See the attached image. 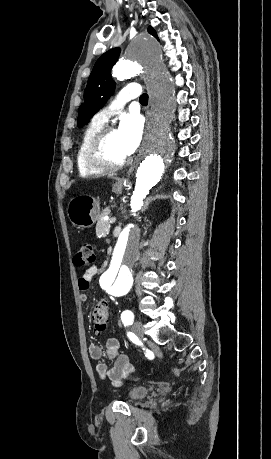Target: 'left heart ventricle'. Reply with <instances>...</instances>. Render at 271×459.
Segmentation results:
<instances>
[{
	"label": "left heart ventricle",
	"instance_id": "1",
	"mask_svg": "<svg viewBox=\"0 0 271 459\" xmlns=\"http://www.w3.org/2000/svg\"><path fill=\"white\" fill-rule=\"evenodd\" d=\"M108 148L111 154H113L114 156H124L128 154L118 129H115L112 132L108 140Z\"/></svg>",
	"mask_w": 271,
	"mask_h": 459
}]
</instances>
